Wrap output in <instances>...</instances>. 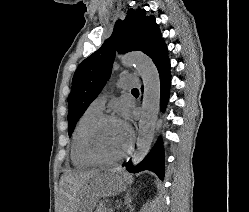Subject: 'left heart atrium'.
<instances>
[{
  "label": "left heart atrium",
  "mask_w": 249,
  "mask_h": 212,
  "mask_svg": "<svg viewBox=\"0 0 249 212\" xmlns=\"http://www.w3.org/2000/svg\"><path fill=\"white\" fill-rule=\"evenodd\" d=\"M121 125H122L123 129L125 130V132L128 134V136L130 137L129 125L126 122H121Z\"/></svg>",
  "instance_id": "1"
}]
</instances>
